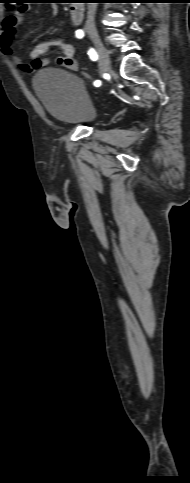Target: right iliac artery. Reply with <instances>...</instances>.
<instances>
[{"label":"right iliac artery","instance_id":"82829eb1","mask_svg":"<svg viewBox=\"0 0 190 483\" xmlns=\"http://www.w3.org/2000/svg\"><path fill=\"white\" fill-rule=\"evenodd\" d=\"M83 36H84V32L82 30H77L76 31V37L77 38H82ZM88 55H89V57H90V59L92 61H96L98 59V55H97L96 51L93 48H91L88 51ZM100 85H101V81L100 80L94 81V86L99 87Z\"/></svg>","mask_w":190,"mask_h":483}]
</instances>
